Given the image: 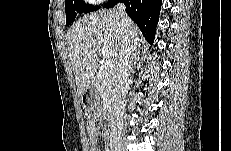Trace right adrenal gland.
Segmentation results:
<instances>
[{
    "mask_svg": "<svg viewBox=\"0 0 231 151\" xmlns=\"http://www.w3.org/2000/svg\"><path fill=\"white\" fill-rule=\"evenodd\" d=\"M136 64H140V58H139V57H137L136 60L134 61L133 66H132V68H131V72H134V66H135Z\"/></svg>",
    "mask_w": 231,
    "mask_h": 151,
    "instance_id": "2a0ac1e0",
    "label": "right adrenal gland"
}]
</instances>
